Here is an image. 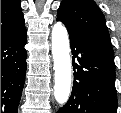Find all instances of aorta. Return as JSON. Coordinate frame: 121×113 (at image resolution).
<instances>
[{
    "label": "aorta",
    "mask_w": 121,
    "mask_h": 113,
    "mask_svg": "<svg viewBox=\"0 0 121 113\" xmlns=\"http://www.w3.org/2000/svg\"><path fill=\"white\" fill-rule=\"evenodd\" d=\"M68 33L61 22L52 28V54L55 69L54 96L59 104L68 101L71 88V63Z\"/></svg>",
    "instance_id": "762f6f07"
}]
</instances>
